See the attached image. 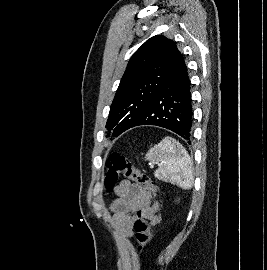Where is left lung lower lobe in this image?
Masks as SVG:
<instances>
[{
  "label": "left lung lower lobe",
  "mask_w": 267,
  "mask_h": 270,
  "mask_svg": "<svg viewBox=\"0 0 267 270\" xmlns=\"http://www.w3.org/2000/svg\"><path fill=\"white\" fill-rule=\"evenodd\" d=\"M140 125L166 128L191 144L193 111L190 81L181 53L167 82L131 128Z\"/></svg>",
  "instance_id": "obj_1"
}]
</instances>
